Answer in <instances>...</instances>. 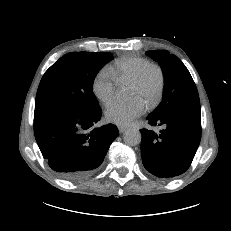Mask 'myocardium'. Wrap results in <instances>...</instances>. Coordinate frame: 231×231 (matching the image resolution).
Segmentation results:
<instances>
[{
	"label": "myocardium",
	"mask_w": 231,
	"mask_h": 231,
	"mask_svg": "<svg viewBox=\"0 0 231 231\" xmlns=\"http://www.w3.org/2000/svg\"><path fill=\"white\" fill-rule=\"evenodd\" d=\"M151 69H156L158 71L159 85H158V89H157L156 94L154 95V97L146 104L148 109H152V108L156 107L160 103V101L162 99L164 89H165V85H166V75H165V71H164L163 67L158 63L150 62L147 65H145L139 71L137 76L130 83V86H132V87H140V86H142L148 72Z\"/></svg>",
	"instance_id": "1"
}]
</instances>
